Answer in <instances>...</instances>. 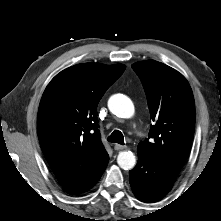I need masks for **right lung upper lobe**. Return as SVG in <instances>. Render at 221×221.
<instances>
[{"instance_id": "cb5924a9", "label": "right lung upper lobe", "mask_w": 221, "mask_h": 221, "mask_svg": "<svg viewBox=\"0 0 221 221\" xmlns=\"http://www.w3.org/2000/svg\"><path fill=\"white\" fill-rule=\"evenodd\" d=\"M125 68L122 64L74 65L55 76L45 89L38 110V137L55 176L69 191L91 184L108 164L97 125V105Z\"/></svg>"}]
</instances>
